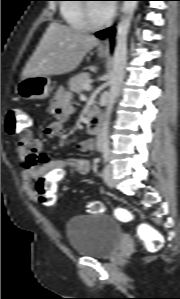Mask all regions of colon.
<instances>
[{
	"instance_id": "5ec220e1",
	"label": "colon",
	"mask_w": 180,
	"mask_h": 299,
	"mask_svg": "<svg viewBox=\"0 0 180 299\" xmlns=\"http://www.w3.org/2000/svg\"><path fill=\"white\" fill-rule=\"evenodd\" d=\"M30 123L29 115L22 109L13 108L7 113L5 122V132L8 135L15 136L25 130ZM39 201L46 206L55 204L57 200L56 182H45L37 188ZM87 211L91 214H100L104 211V206L100 202H90L87 204ZM117 217L123 222H131L133 215L124 209L116 210ZM137 233L144 241L147 249L151 252L161 250L164 243L163 235L158 232L151 224L142 222L137 225Z\"/></svg>"
}]
</instances>
